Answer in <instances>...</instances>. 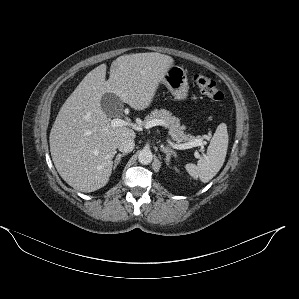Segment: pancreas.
Masks as SVG:
<instances>
[{
    "mask_svg": "<svg viewBox=\"0 0 299 299\" xmlns=\"http://www.w3.org/2000/svg\"><path fill=\"white\" fill-rule=\"evenodd\" d=\"M160 119L165 121L167 124V128L169 129V134L171 135L172 139L177 143L182 142H192L195 140H201V138L194 137L191 135H187L184 133L185 126L180 125V120L175 116H172V113L165 110V109H155L153 110L150 115L146 116L144 120V124L147 125L150 121Z\"/></svg>",
    "mask_w": 299,
    "mask_h": 299,
    "instance_id": "obj_1",
    "label": "pancreas"
}]
</instances>
